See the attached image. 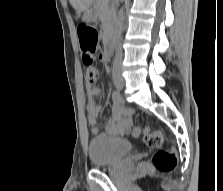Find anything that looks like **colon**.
<instances>
[{
	"label": "colon",
	"mask_w": 223,
	"mask_h": 191,
	"mask_svg": "<svg viewBox=\"0 0 223 191\" xmlns=\"http://www.w3.org/2000/svg\"><path fill=\"white\" fill-rule=\"evenodd\" d=\"M98 33L91 25H84L80 32V46L83 51V62L86 65V80L95 83L98 71L92 67L97 48ZM134 138H141L150 148L157 149L152 156V167L163 173L172 172L177 164L176 156L172 150L162 149V134L150 132L147 128L135 127L132 131ZM143 169H148L143 167Z\"/></svg>",
	"instance_id": "5ec220e1"
}]
</instances>
